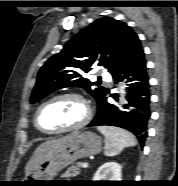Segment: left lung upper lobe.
<instances>
[{"instance_id": "5c2ea615", "label": "left lung upper lobe", "mask_w": 178, "mask_h": 186, "mask_svg": "<svg viewBox=\"0 0 178 186\" xmlns=\"http://www.w3.org/2000/svg\"><path fill=\"white\" fill-rule=\"evenodd\" d=\"M144 55L140 40L125 23L110 17L93 22L69 40L64 48L41 67L30 102L40 101L64 87H82L101 102L106 88L84 77L93 65L116 75ZM98 86L92 88V86Z\"/></svg>"}]
</instances>
